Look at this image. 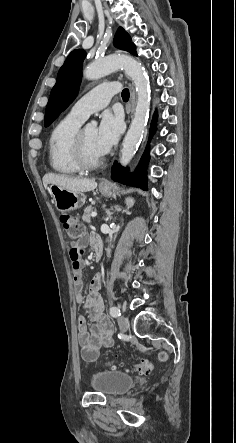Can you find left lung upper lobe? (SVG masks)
<instances>
[{"instance_id":"5c2ea615","label":"left lung upper lobe","mask_w":236,"mask_h":443,"mask_svg":"<svg viewBox=\"0 0 236 443\" xmlns=\"http://www.w3.org/2000/svg\"><path fill=\"white\" fill-rule=\"evenodd\" d=\"M114 44L117 48L137 55L136 47L131 42V37L123 28H119ZM86 56L84 50L72 51L63 66L60 68L56 84L50 93V98L46 107L44 125L49 126L75 99L82 76V64Z\"/></svg>"}]
</instances>
